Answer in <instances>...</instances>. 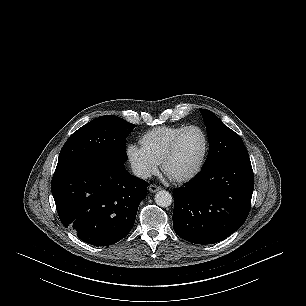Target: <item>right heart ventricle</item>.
Here are the masks:
<instances>
[{
  "label": "right heart ventricle",
  "instance_id": "1",
  "mask_svg": "<svg viewBox=\"0 0 306 306\" xmlns=\"http://www.w3.org/2000/svg\"><path fill=\"white\" fill-rule=\"evenodd\" d=\"M185 126H159L145 132L140 144L158 163L162 161L175 136Z\"/></svg>",
  "mask_w": 306,
  "mask_h": 306
}]
</instances>
